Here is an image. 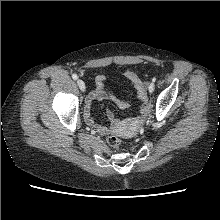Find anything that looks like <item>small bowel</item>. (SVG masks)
I'll return each instance as SVG.
<instances>
[{"label": "small bowel", "instance_id": "c3829d8e", "mask_svg": "<svg viewBox=\"0 0 220 220\" xmlns=\"http://www.w3.org/2000/svg\"><path fill=\"white\" fill-rule=\"evenodd\" d=\"M122 75L127 82L131 83L135 87L143 106L148 104L147 86L146 83L140 79L138 74L132 69H127ZM106 81L107 78L103 75L96 78V87L85 99L83 109L85 122L102 134L106 133L108 128L104 125L98 124L95 121L94 117L92 116V102L94 100L109 99L121 109H126L128 107V103L126 101L119 99L111 90L106 87ZM108 116L112 117L113 115L112 113H109Z\"/></svg>", "mask_w": 220, "mask_h": 220}]
</instances>
